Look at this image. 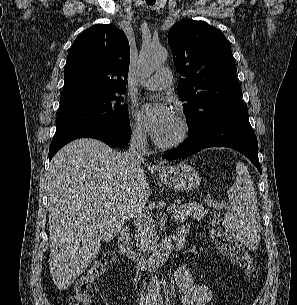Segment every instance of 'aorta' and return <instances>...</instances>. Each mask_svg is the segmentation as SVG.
<instances>
[{"mask_svg":"<svg viewBox=\"0 0 297 305\" xmlns=\"http://www.w3.org/2000/svg\"><path fill=\"white\" fill-rule=\"evenodd\" d=\"M168 52L162 46H148L142 49L139 55L138 69L142 76H147L153 73L161 66ZM161 294L160 281L158 276L152 275L148 284V295L150 297H159Z\"/></svg>","mask_w":297,"mask_h":305,"instance_id":"aorta-1","label":"aorta"}]
</instances>
